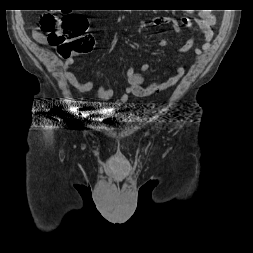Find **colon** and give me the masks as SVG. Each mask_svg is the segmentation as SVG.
I'll list each match as a JSON object with an SVG mask.
<instances>
[{"mask_svg":"<svg viewBox=\"0 0 253 253\" xmlns=\"http://www.w3.org/2000/svg\"><path fill=\"white\" fill-rule=\"evenodd\" d=\"M87 27L88 20L81 14H66L61 17L46 14L40 21L41 32L63 58L93 49L94 38L87 32Z\"/></svg>","mask_w":253,"mask_h":253,"instance_id":"colon-1","label":"colon"}]
</instances>
